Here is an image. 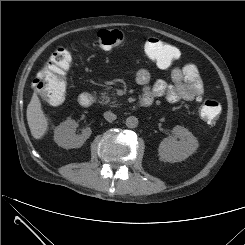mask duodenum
Here are the masks:
<instances>
[{
    "instance_id": "duodenum-1",
    "label": "duodenum",
    "mask_w": 245,
    "mask_h": 245,
    "mask_svg": "<svg viewBox=\"0 0 245 245\" xmlns=\"http://www.w3.org/2000/svg\"><path fill=\"white\" fill-rule=\"evenodd\" d=\"M94 99L95 98H94L93 94L85 92L79 96L78 102H79L80 106L86 108V107H90L93 104ZM151 103H152V101L150 98H142L140 101V106L142 108H145V107L150 106Z\"/></svg>"
}]
</instances>
